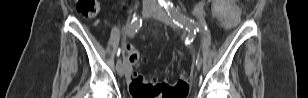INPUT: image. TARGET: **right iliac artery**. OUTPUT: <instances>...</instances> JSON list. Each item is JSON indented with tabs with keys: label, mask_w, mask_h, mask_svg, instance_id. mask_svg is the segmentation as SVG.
I'll list each match as a JSON object with an SVG mask.
<instances>
[{
	"label": "right iliac artery",
	"mask_w": 308,
	"mask_h": 98,
	"mask_svg": "<svg viewBox=\"0 0 308 98\" xmlns=\"http://www.w3.org/2000/svg\"><path fill=\"white\" fill-rule=\"evenodd\" d=\"M141 26H142V19L134 18L131 24L128 26L126 30V34L128 36H133L140 29ZM120 53H121V49L119 48L117 50V56H119ZM120 66H121V60H118L116 64V69L118 70Z\"/></svg>",
	"instance_id": "82829eb1"
}]
</instances>
